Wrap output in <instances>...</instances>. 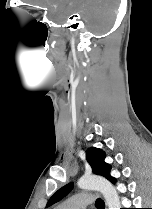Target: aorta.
I'll return each instance as SVG.
<instances>
[{"label":"aorta","mask_w":152,"mask_h":209,"mask_svg":"<svg viewBox=\"0 0 152 209\" xmlns=\"http://www.w3.org/2000/svg\"><path fill=\"white\" fill-rule=\"evenodd\" d=\"M77 185L80 189L101 192L109 209L120 208L118 193L108 180L99 176H83L78 180Z\"/></svg>","instance_id":"obj_1"}]
</instances>
